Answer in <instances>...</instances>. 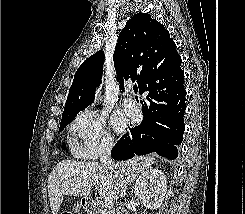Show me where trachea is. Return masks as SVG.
<instances>
[{
    "instance_id": "obj_1",
    "label": "trachea",
    "mask_w": 245,
    "mask_h": 214,
    "mask_svg": "<svg viewBox=\"0 0 245 214\" xmlns=\"http://www.w3.org/2000/svg\"><path fill=\"white\" fill-rule=\"evenodd\" d=\"M137 91H138L137 89H134V92H135V93H137Z\"/></svg>"
}]
</instances>
